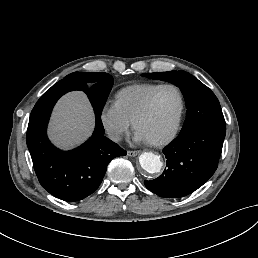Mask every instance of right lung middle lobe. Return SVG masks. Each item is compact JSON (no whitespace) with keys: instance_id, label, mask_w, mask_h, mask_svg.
I'll list each match as a JSON object with an SVG mask.
<instances>
[{"instance_id":"1","label":"right lung middle lobe","mask_w":258,"mask_h":258,"mask_svg":"<svg viewBox=\"0 0 258 258\" xmlns=\"http://www.w3.org/2000/svg\"><path fill=\"white\" fill-rule=\"evenodd\" d=\"M65 78L79 79L88 83L99 82L95 88V93L92 101L95 114L101 115L107 97L113 85V78L108 73H89V72H74L67 75Z\"/></svg>"}]
</instances>
